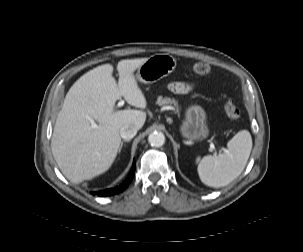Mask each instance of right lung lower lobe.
Returning <instances> with one entry per match:
<instances>
[{"instance_id":"right-lung-lower-lobe-1","label":"right lung lower lobe","mask_w":303,"mask_h":252,"mask_svg":"<svg viewBox=\"0 0 303 252\" xmlns=\"http://www.w3.org/2000/svg\"><path fill=\"white\" fill-rule=\"evenodd\" d=\"M134 172H135V163H133V166H132V169L130 171L128 178L120 186L102 190V191L92 192V194L105 197V196H111V195H115V194L122 192L130 184V182L134 176Z\"/></svg>"}]
</instances>
